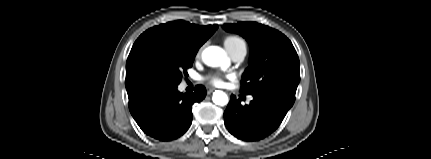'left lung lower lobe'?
Instances as JSON below:
<instances>
[{"mask_svg":"<svg viewBox=\"0 0 431 159\" xmlns=\"http://www.w3.org/2000/svg\"><path fill=\"white\" fill-rule=\"evenodd\" d=\"M249 105H241L234 95L224 112L228 131L244 141H259L274 132L294 101L273 92L251 94Z\"/></svg>","mask_w":431,"mask_h":159,"instance_id":"0a47b994","label":"left lung lower lobe"}]
</instances>
